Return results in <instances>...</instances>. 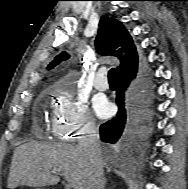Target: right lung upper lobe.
I'll return each instance as SVG.
<instances>
[{
	"instance_id": "right-lung-upper-lobe-1",
	"label": "right lung upper lobe",
	"mask_w": 188,
	"mask_h": 189,
	"mask_svg": "<svg viewBox=\"0 0 188 189\" xmlns=\"http://www.w3.org/2000/svg\"><path fill=\"white\" fill-rule=\"evenodd\" d=\"M95 45L99 54L115 56L120 59L121 65L117 68L118 77L137 70L138 56L135 45L124 25L118 20L109 18L107 15L102 16ZM68 58L69 55L62 52L55 57L47 69L54 68Z\"/></svg>"
}]
</instances>
